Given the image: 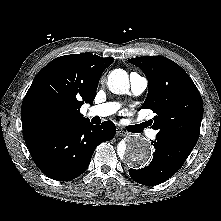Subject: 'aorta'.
Masks as SVG:
<instances>
[{"mask_svg":"<svg viewBox=\"0 0 221 221\" xmlns=\"http://www.w3.org/2000/svg\"><path fill=\"white\" fill-rule=\"evenodd\" d=\"M108 86L112 93H126L129 89L127 72L123 69H115L110 72ZM118 154L122 160L133 167L145 166L152 156L148 140L141 135H133L125 141H121L118 145Z\"/></svg>","mask_w":221,"mask_h":221,"instance_id":"1","label":"aorta"}]
</instances>
